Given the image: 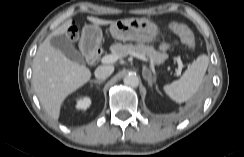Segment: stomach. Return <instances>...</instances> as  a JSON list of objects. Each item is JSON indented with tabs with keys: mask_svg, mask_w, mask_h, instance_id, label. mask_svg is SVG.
<instances>
[{
	"mask_svg": "<svg viewBox=\"0 0 244 157\" xmlns=\"http://www.w3.org/2000/svg\"><path fill=\"white\" fill-rule=\"evenodd\" d=\"M113 38L122 41H135L139 44L150 43L159 35V27L148 18H127L113 22L110 26ZM102 33L98 26L87 25L83 29L81 44L98 46Z\"/></svg>",
	"mask_w": 244,
	"mask_h": 157,
	"instance_id": "1",
	"label": "stomach"
}]
</instances>
